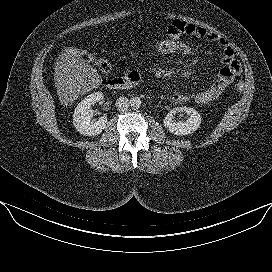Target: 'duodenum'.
<instances>
[{
	"label": "duodenum",
	"instance_id": "1",
	"mask_svg": "<svg viewBox=\"0 0 272 272\" xmlns=\"http://www.w3.org/2000/svg\"><path fill=\"white\" fill-rule=\"evenodd\" d=\"M139 82V75L129 73L123 77L112 78L104 81V85L113 90H121L132 87Z\"/></svg>",
	"mask_w": 272,
	"mask_h": 272
}]
</instances>
